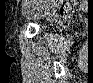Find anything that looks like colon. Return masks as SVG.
Here are the masks:
<instances>
[{
	"label": "colon",
	"mask_w": 93,
	"mask_h": 83,
	"mask_svg": "<svg viewBox=\"0 0 93 83\" xmlns=\"http://www.w3.org/2000/svg\"><path fill=\"white\" fill-rule=\"evenodd\" d=\"M53 4H56L59 9H62V7L66 6V5H69V4H72L73 2H70V1H55V2H51Z\"/></svg>",
	"instance_id": "obj_1"
}]
</instances>
